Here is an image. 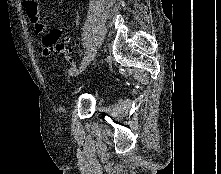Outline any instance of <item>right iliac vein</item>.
Wrapping results in <instances>:
<instances>
[{"mask_svg": "<svg viewBox=\"0 0 221 174\" xmlns=\"http://www.w3.org/2000/svg\"><path fill=\"white\" fill-rule=\"evenodd\" d=\"M95 55H96V51L89 53V56L82 61L80 69H79V73L83 72L84 69L89 65V63L95 59Z\"/></svg>", "mask_w": 221, "mask_h": 174, "instance_id": "right-iliac-vein-1", "label": "right iliac vein"}]
</instances>
